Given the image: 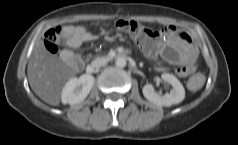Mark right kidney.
Segmentation results:
<instances>
[{
  "label": "right kidney",
  "instance_id": "ca27d5eb",
  "mask_svg": "<svg viewBox=\"0 0 238 145\" xmlns=\"http://www.w3.org/2000/svg\"><path fill=\"white\" fill-rule=\"evenodd\" d=\"M94 81V77L90 74L71 78L62 89V103L75 105L82 102L90 93Z\"/></svg>",
  "mask_w": 238,
  "mask_h": 145
}]
</instances>
